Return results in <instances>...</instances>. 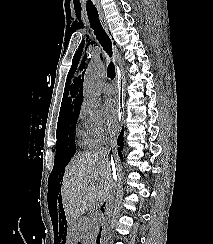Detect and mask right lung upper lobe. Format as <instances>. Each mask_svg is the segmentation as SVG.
<instances>
[{"label":"right lung upper lobe","mask_w":213,"mask_h":244,"mask_svg":"<svg viewBox=\"0 0 213 244\" xmlns=\"http://www.w3.org/2000/svg\"><path fill=\"white\" fill-rule=\"evenodd\" d=\"M78 62L79 60L77 61L76 66L74 68L71 67L69 71L68 79H70V82L72 76L74 75V72L77 69ZM83 68H84V60L80 64V70H82ZM73 82L74 84L72 83V85L70 87L68 86L67 89L64 91L61 108H60V114L81 107V103L83 99L82 87L80 86L81 76H78V79L74 78Z\"/></svg>","instance_id":"right-lung-upper-lobe-1"}]
</instances>
